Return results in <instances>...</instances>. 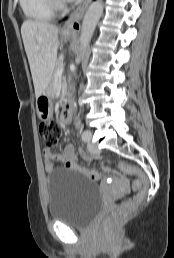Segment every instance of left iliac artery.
<instances>
[{
    "instance_id": "obj_1",
    "label": "left iliac artery",
    "mask_w": 174,
    "mask_h": 258,
    "mask_svg": "<svg viewBox=\"0 0 174 258\" xmlns=\"http://www.w3.org/2000/svg\"><path fill=\"white\" fill-rule=\"evenodd\" d=\"M82 140L87 142V141H90L91 137H90V132L89 131H84L82 133Z\"/></svg>"
}]
</instances>
